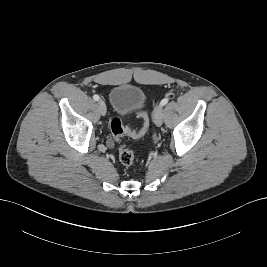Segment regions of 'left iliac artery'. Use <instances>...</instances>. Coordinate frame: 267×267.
<instances>
[{
	"instance_id": "obj_1",
	"label": "left iliac artery",
	"mask_w": 267,
	"mask_h": 267,
	"mask_svg": "<svg viewBox=\"0 0 267 267\" xmlns=\"http://www.w3.org/2000/svg\"><path fill=\"white\" fill-rule=\"evenodd\" d=\"M169 99L168 98H164L161 102L160 105L164 106L168 103Z\"/></svg>"
}]
</instances>
